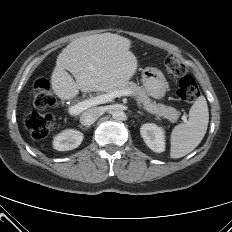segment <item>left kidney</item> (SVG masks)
I'll return each instance as SVG.
<instances>
[{"mask_svg": "<svg viewBox=\"0 0 232 232\" xmlns=\"http://www.w3.org/2000/svg\"><path fill=\"white\" fill-rule=\"evenodd\" d=\"M140 133L146 145L154 152L161 153L165 150L164 129L155 124H143Z\"/></svg>", "mask_w": 232, "mask_h": 232, "instance_id": "1", "label": "left kidney"}]
</instances>
